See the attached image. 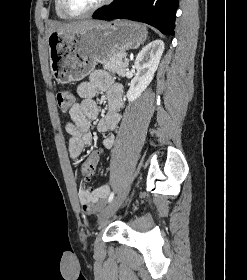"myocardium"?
Wrapping results in <instances>:
<instances>
[{"label":"myocardium","instance_id":"myocardium-1","mask_svg":"<svg viewBox=\"0 0 247 280\" xmlns=\"http://www.w3.org/2000/svg\"><path fill=\"white\" fill-rule=\"evenodd\" d=\"M112 1L113 0H101L98 4H96L92 8L82 11V12L72 11L68 6L67 0H60V6H61L62 12L68 18H81V17H85V16L95 13L96 11H98V10L102 9L103 7L107 6L108 4H110Z\"/></svg>","mask_w":247,"mask_h":280}]
</instances>
